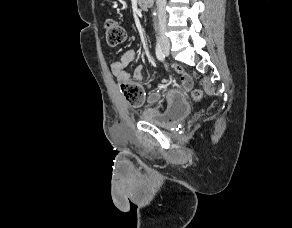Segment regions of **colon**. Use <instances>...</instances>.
<instances>
[{
    "label": "colon",
    "mask_w": 292,
    "mask_h": 228,
    "mask_svg": "<svg viewBox=\"0 0 292 228\" xmlns=\"http://www.w3.org/2000/svg\"><path fill=\"white\" fill-rule=\"evenodd\" d=\"M105 36L106 41L111 46H117L124 42L126 38V32L122 25L114 20L108 19L105 22ZM121 93L126 101L132 106H139L143 100V90L141 86L133 79H126L119 81ZM194 100L199 101L202 98V91L195 89L192 92Z\"/></svg>",
    "instance_id": "colon-1"
}]
</instances>
